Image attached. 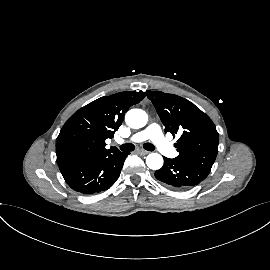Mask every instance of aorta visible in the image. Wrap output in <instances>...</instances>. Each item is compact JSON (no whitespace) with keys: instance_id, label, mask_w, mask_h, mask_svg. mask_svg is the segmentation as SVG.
I'll return each instance as SVG.
<instances>
[{"instance_id":"aorta-1","label":"aorta","mask_w":270,"mask_h":270,"mask_svg":"<svg viewBox=\"0 0 270 270\" xmlns=\"http://www.w3.org/2000/svg\"><path fill=\"white\" fill-rule=\"evenodd\" d=\"M126 124L134 129L142 128L147 124L148 116L142 109H131L125 115ZM146 164L152 170H158L163 165V158L158 153H151L146 157Z\"/></svg>"}]
</instances>
